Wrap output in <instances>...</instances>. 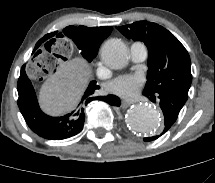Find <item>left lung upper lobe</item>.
Returning <instances> with one entry per match:
<instances>
[{"mask_svg":"<svg viewBox=\"0 0 215 183\" xmlns=\"http://www.w3.org/2000/svg\"><path fill=\"white\" fill-rule=\"evenodd\" d=\"M118 30L127 38L143 41L148 48L149 69L143 93L170 92L186 101L192 81L191 62L180 41L162 26L146 21L120 26Z\"/></svg>","mask_w":215,"mask_h":183,"instance_id":"left-lung-upper-lobe-1","label":"left lung upper lobe"}]
</instances>
